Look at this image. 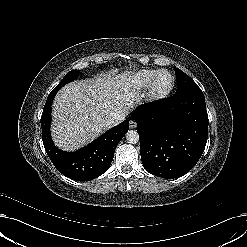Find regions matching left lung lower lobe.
I'll return each instance as SVG.
<instances>
[{
    "mask_svg": "<svg viewBox=\"0 0 247 247\" xmlns=\"http://www.w3.org/2000/svg\"><path fill=\"white\" fill-rule=\"evenodd\" d=\"M131 120L138 124L143 166L155 176L185 175L204 151L208 115L201 89L141 105Z\"/></svg>",
    "mask_w": 247,
    "mask_h": 247,
    "instance_id": "0a47b994",
    "label": "left lung lower lobe"
}]
</instances>
